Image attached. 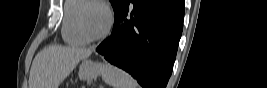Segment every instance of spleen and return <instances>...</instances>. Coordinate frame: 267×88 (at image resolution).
<instances>
[{
	"label": "spleen",
	"mask_w": 267,
	"mask_h": 88,
	"mask_svg": "<svg viewBox=\"0 0 267 88\" xmlns=\"http://www.w3.org/2000/svg\"><path fill=\"white\" fill-rule=\"evenodd\" d=\"M101 74L104 82L112 88H138L131 75L113 65L103 64Z\"/></svg>",
	"instance_id": "3e777b00"
}]
</instances>
